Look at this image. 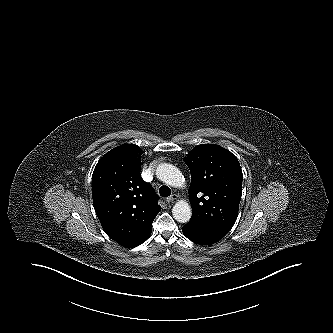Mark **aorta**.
<instances>
[{
	"mask_svg": "<svg viewBox=\"0 0 333 333\" xmlns=\"http://www.w3.org/2000/svg\"><path fill=\"white\" fill-rule=\"evenodd\" d=\"M156 175L161 181L173 187H180L184 183L181 171L172 164H160L156 169ZM172 214L176 221L186 223L192 215L191 207L188 202L180 200L173 206Z\"/></svg>",
	"mask_w": 333,
	"mask_h": 333,
	"instance_id": "obj_1",
	"label": "aorta"
}]
</instances>
